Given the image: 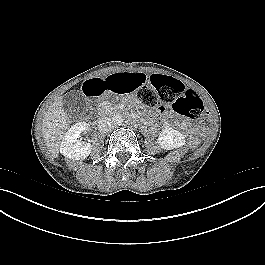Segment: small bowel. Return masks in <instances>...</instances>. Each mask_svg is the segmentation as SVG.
<instances>
[{"instance_id":"1","label":"small bowel","mask_w":265,"mask_h":265,"mask_svg":"<svg viewBox=\"0 0 265 265\" xmlns=\"http://www.w3.org/2000/svg\"><path fill=\"white\" fill-rule=\"evenodd\" d=\"M147 80L146 73L137 69L127 74H114L106 78H95L87 81L84 85V92L88 96H100L104 91L115 93H129L132 88L143 85ZM160 116L166 121L171 113L162 108L156 114V119ZM156 119L152 120L155 121Z\"/></svg>"}]
</instances>
